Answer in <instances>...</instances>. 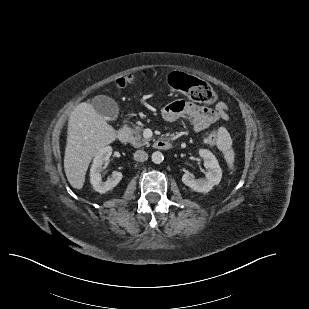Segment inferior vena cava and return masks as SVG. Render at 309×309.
Here are the masks:
<instances>
[{
	"instance_id": "inferior-vena-cava-1",
	"label": "inferior vena cava",
	"mask_w": 309,
	"mask_h": 309,
	"mask_svg": "<svg viewBox=\"0 0 309 309\" xmlns=\"http://www.w3.org/2000/svg\"><path fill=\"white\" fill-rule=\"evenodd\" d=\"M134 159L139 162H144L148 159V154L143 150H137L134 153Z\"/></svg>"
}]
</instances>
